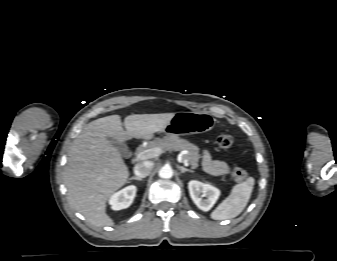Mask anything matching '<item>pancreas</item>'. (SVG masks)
Listing matches in <instances>:
<instances>
[{
    "label": "pancreas",
    "mask_w": 337,
    "mask_h": 261,
    "mask_svg": "<svg viewBox=\"0 0 337 261\" xmlns=\"http://www.w3.org/2000/svg\"><path fill=\"white\" fill-rule=\"evenodd\" d=\"M155 147H160L163 152L187 150L188 154L184 156V159L188 161L193 169L198 167L199 148L185 139H181L178 136H168L163 139L157 138L147 146L149 149Z\"/></svg>",
    "instance_id": "1"
}]
</instances>
